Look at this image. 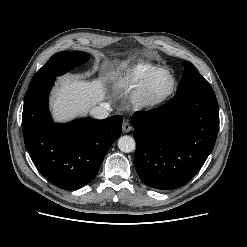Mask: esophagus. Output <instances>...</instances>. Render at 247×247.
Listing matches in <instances>:
<instances>
[{
    "label": "esophagus",
    "mask_w": 247,
    "mask_h": 247,
    "mask_svg": "<svg viewBox=\"0 0 247 247\" xmlns=\"http://www.w3.org/2000/svg\"><path fill=\"white\" fill-rule=\"evenodd\" d=\"M131 130H132L131 124H130L128 121H124V122H123V125H122V131H123L124 133H128V132H130Z\"/></svg>",
    "instance_id": "esophagus-1"
}]
</instances>
